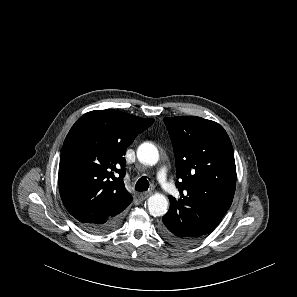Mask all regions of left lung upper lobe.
Returning a JSON list of instances; mask_svg holds the SVG:
<instances>
[{
  "label": "left lung upper lobe",
  "instance_id": "5c2ea615",
  "mask_svg": "<svg viewBox=\"0 0 297 297\" xmlns=\"http://www.w3.org/2000/svg\"><path fill=\"white\" fill-rule=\"evenodd\" d=\"M175 157L180 199L169 196L184 236L210 233L229 209L236 186L234 151L224 128L195 116L164 118Z\"/></svg>",
  "mask_w": 297,
  "mask_h": 297
}]
</instances>
